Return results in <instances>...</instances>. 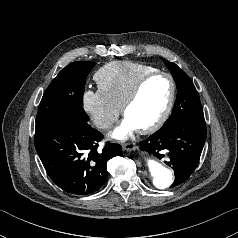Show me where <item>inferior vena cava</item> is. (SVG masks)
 Returning a JSON list of instances; mask_svg holds the SVG:
<instances>
[{
	"mask_svg": "<svg viewBox=\"0 0 238 238\" xmlns=\"http://www.w3.org/2000/svg\"><path fill=\"white\" fill-rule=\"evenodd\" d=\"M112 124H113V122L106 118H99L96 121V125L99 128H110V127H112Z\"/></svg>",
	"mask_w": 238,
	"mask_h": 238,
	"instance_id": "inferior-vena-cava-1",
	"label": "inferior vena cava"
}]
</instances>
